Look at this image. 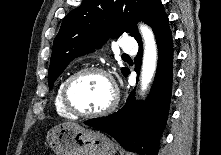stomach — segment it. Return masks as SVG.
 I'll return each mask as SVG.
<instances>
[{"label": "stomach", "instance_id": "obj_1", "mask_svg": "<svg viewBox=\"0 0 221 155\" xmlns=\"http://www.w3.org/2000/svg\"><path fill=\"white\" fill-rule=\"evenodd\" d=\"M48 145L56 155H115L117 146L103 133L74 123L53 127Z\"/></svg>", "mask_w": 221, "mask_h": 155}]
</instances>
